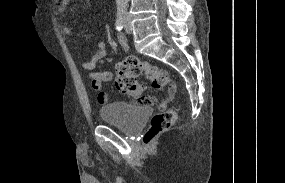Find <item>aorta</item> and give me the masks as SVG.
I'll return each instance as SVG.
<instances>
[{
    "label": "aorta",
    "instance_id": "762f6f07",
    "mask_svg": "<svg viewBox=\"0 0 285 183\" xmlns=\"http://www.w3.org/2000/svg\"><path fill=\"white\" fill-rule=\"evenodd\" d=\"M129 0H116L117 8L123 9L127 6Z\"/></svg>",
    "mask_w": 285,
    "mask_h": 183
}]
</instances>
